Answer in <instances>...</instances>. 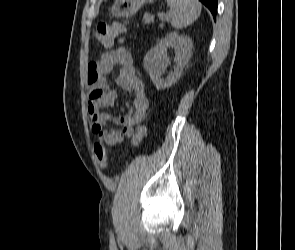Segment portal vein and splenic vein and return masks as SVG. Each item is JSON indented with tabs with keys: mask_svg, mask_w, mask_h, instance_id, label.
<instances>
[{
	"mask_svg": "<svg viewBox=\"0 0 295 250\" xmlns=\"http://www.w3.org/2000/svg\"><path fill=\"white\" fill-rule=\"evenodd\" d=\"M158 17L161 21H165L169 18L167 15H163V14L158 15Z\"/></svg>",
	"mask_w": 295,
	"mask_h": 250,
	"instance_id": "18ae733b",
	"label": "portal vein and splenic vein"
}]
</instances>
